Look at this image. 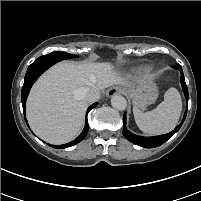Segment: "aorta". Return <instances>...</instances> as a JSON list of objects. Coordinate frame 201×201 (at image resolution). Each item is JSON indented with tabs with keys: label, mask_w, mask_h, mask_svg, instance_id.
<instances>
[{
	"label": "aorta",
	"mask_w": 201,
	"mask_h": 201,
	"mask_svg": "<svg viewBox=\"0 0 201 201\" xmlns=\"http://www.w3.org/2000/svg\"><path fill=\"white\" fill-rule=\"evenodd\" d=\"M111 105L116 110H124L127 106L126 99L121 95H114L111 98Z\"/></svg>",
	"instance_id": "aorta-1"
}]
</instances>
